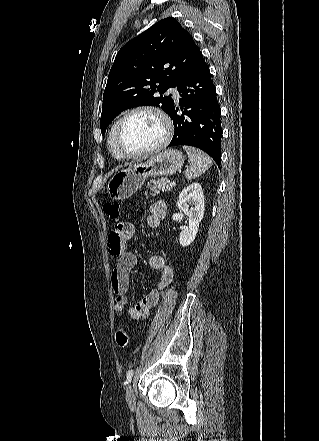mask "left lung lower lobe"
I'll use <instances>...</instances> for the list:
<instances>
[{"label":"left lung lower lobe","instance_id":"1","mask_svg":"<svg viewBox=\"0 0 319 441\" xmlns=\"http://www.w3.org/2000/svg\"><path fill=\"white\" fill-rule=\"evenodd\" d=\"M181 98L182 115L173 106L169 116L175 133L169 146L188 145L209 154L220 166L222 127L220 106L210 77L209 67L202 55L185 73L176 86Z\"/></svg>","mask_w":319,"mask_h":441}]
</instances>
